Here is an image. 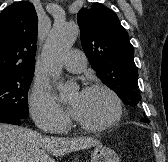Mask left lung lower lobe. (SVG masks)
Masks as SVG:
<instances>
[{"label":"left lung lower lobe","instance_id":"1","mask_svg":"<svg viewBox=\"0 0 168 162\" xmlns=\"http://www.w3.org/2000/svg\"><path fill=\"white\" fill-rule=\"evenodd\" d=\"M141 121L146 122V123H149V120H148V119H141Z\"/></svg>","mask_w":168,"mask_h":162}]
</instances>
